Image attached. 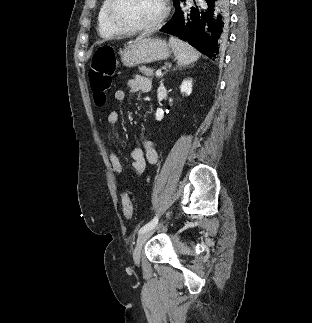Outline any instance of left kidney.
<instances>
[{
  "mask_svg": "<svg viewBox=\"0 0 312 323\" xmlns=\"http://www.w3.org/2000/svg\"><path fill=\"white\" fill-rule=\"evenodd\" d=\"M180 90L183 96H190V94H192V80H184V82H182L180 86ZM155 116L158 122H160V120H163L164 112L162 108H158Z\"/></svg>",
  "mask_w": 312,
  "mask_h": 323,
  "instance_id": "1",
  "label": "left kidney"
}]
</instances>
